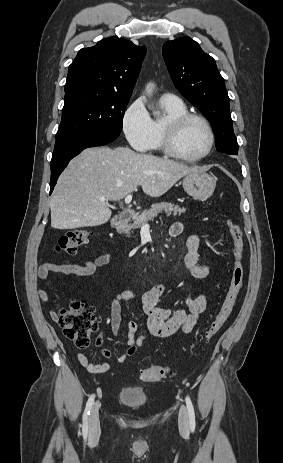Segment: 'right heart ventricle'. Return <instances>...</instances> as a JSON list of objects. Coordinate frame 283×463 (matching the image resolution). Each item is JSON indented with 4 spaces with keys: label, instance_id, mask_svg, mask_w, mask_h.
Returning a JSON list of instances; mask_svg holds the SVG:
<instances>
[{
    "label": "right heart ventricle",
    "instance_id": "1",
    "mask_svg": "<svg viewBox=\"0 0 283 463\" xmlns=\"http://www.w3.org/2000/svg\"><path fill=\"white\" fill-rule=\"evenodd\" d=\"M161 107L164 111V116L161 118L152 119L153 129H154V137L151 143V149H161L162 148V129L164 122L172 117L184 114L187 112L186 105L180 99H161L160 100Z\"/></svg>",
    "mask_w": 283,
    "mask_h": 463
}]
</instances>
